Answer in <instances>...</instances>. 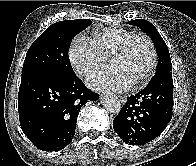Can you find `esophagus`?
Returning a JSON list of instances; mask_svg holds the SVG:
<instances>
[{"label":"esophagus","instance_id":"34e87169","mask_svg":"<svg viewBox=\"0 0 196 166\" xmlns=\"http://www.w3.org/2000/svg\"><path fill=\"white\" fill-rule=\"evenodd\" d=\"M101 97H102V94H101ZM119 98H120V102L123 103V104H124V103L126 102V100H127V99H126V96H119Z\"/></svg>","mask_w":196,"mask_h":166}]
</instances>
